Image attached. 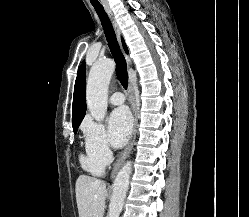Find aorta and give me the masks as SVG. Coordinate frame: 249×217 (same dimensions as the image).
<instances>
[{
    "label": "aorta",
    "instance_id": "762f6f07",
    "mask_svg": "<svg viewBox=\"0 0 249 217\" xmlns=\"http://www.w3.org/2000/svg\"><path fill=\"white\" fill-rule=\"evenodd\" d=\"M114 69L115 64L112 60H103L93 65L88 76L86 86L87 107L92 117L99 122L102 121L106 115L108 85ZM131 172L132 165L130 161L118 172L113 183V193L110 200L108 217H119L129 187Z\"/></svg>",
    "mask_w": 249,
    "mask_h": 217
}]
</instances>
